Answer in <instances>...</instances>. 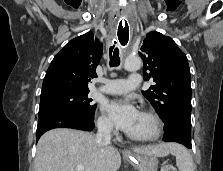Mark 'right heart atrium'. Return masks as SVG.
<instances>
[{
  "mask_svg": "<svg viewBox=\"0 0 223 171\" xmlns=\"http://www.w3.org/2000/svg\"><path fill=\"white\" fill-rule=\"evenodd\" d=\"M98 129L104 133L114 132L111 121L104 115H101L97 120Z\"/></svg>",
  "mask_w": 223,
  "mask_h": 171,
  "instance_id": "obj_1",
  "label": "right heart atrium"
}]
</instances>
